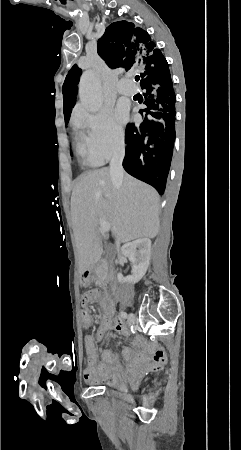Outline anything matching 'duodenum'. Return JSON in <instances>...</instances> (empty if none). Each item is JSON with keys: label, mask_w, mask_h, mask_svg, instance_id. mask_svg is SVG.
I'll return each mask as SVG.
<instances>
[{"label": "duodenum", "mask_w": 241, "mask_h": 450, "mask_svg": "<svg viewBox=\"0 0 241 450\" xmlns=\"http://www.w3.org/2000/svg\"><path fill=\"white\" fill-rule=\"evenodd\" d=\"M93 278H94V271L92 269L87 268V269L83 270V272L81 274V281H82L83 285L90 284L92 282ZM102 283L106 287L109 296L113 300H117L119 293H118L117 285H116L113 275L111 273H108L105 276V278L102 280Z\"/></svg>", "instance_id": "410a0bca"}]
</instances>
